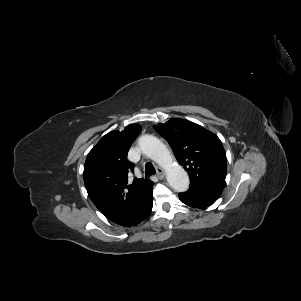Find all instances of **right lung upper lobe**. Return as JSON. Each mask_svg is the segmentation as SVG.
Returning <instances> with one entry per match:
<instances>
[{
	"label": "right lung upper lobe",
	"mask_w": 301,
	"mask_h": 301,
	"mask_svg": "<svg viewBox=\"0 0 301 301\" xmlns=\"http://www.w3.org/2000/svg\"><path fill=\"white\" fill-rule=\"evenodd\" d=\"M140 131L139 125L132 124L122 132H109L89 152L84 165V183L90 199L102 214L119 225L133 216L153 183L137 178L128 183L134 164L126 158Z\"/></svg>",
	"instance_id": "cb5924a9"
}]
</instances>
